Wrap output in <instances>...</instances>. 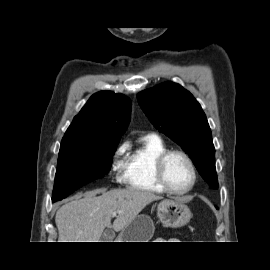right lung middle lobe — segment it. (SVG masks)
I'll return each instance as SVG.
<instances>
[{"label":"right lung middle lobe","mask_w":270,"mask_h":270,"mask_svg":"<svg viewBox=\"0 0 270 270\" xmlns=\"http://www.w3.org/2000/svg\"><path fill=\"white\" fill-rule=\"evenodd\" d=\"M117 142L62 141L52 202L60 201L111 168Z\"/></svg>","instance_id":"1"}]
</instances>
